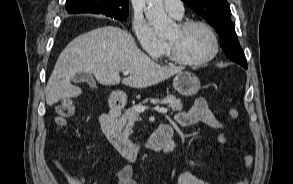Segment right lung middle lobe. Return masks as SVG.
Segmentation results:
<instances>
[{"mask_svg": "<svg viewBox=\"0 0 293 184\" xmlns=\"http://www.w3.org/2000/svg\"><path fill=\"white\" fill-rule=\"evenodd\" d=\"M128 16V13H111L110 17L118 20H125Z\"/></svg>", "mask_w": 293, "mask_h": 184, "instance_id": "obj_1", "label": "right lung middle lobe"}]
</instances>
